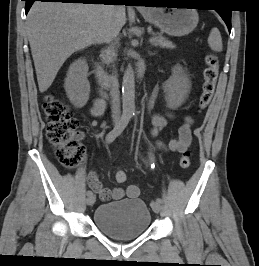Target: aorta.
<instances>
[{
	"label": "aorta",
	"mask_w": 259,
	"mask_h": 266,
	"mask_svg": "<svg viewBox=\"0 0 259 266\" xmlns=\"http://www.w3.org/2000/svg\"><path fill=\"white\" fill-rule=\"evenodd\" d=\"M123 115L131 117L135 112V81L132 67H128L122 82Z\"/></svg>",
	"instance_id": "obj_1"
}]
</instances>
